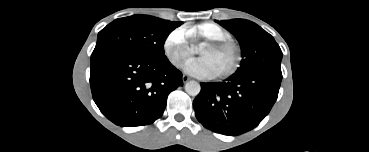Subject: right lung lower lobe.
I'll return each mask as SVG.
<instances>
[{
  "mask_svg": "<svg viewBox=\"0 0 369 152\" xmlns=\"http://www.w3.org/2000/svg\"><path fill=\"white\" fill-rule=\"evenodd\" d=\"M182 85V73L166 57L110 54L91 61L93 99L122 127L153 123L162 116L169 93Z\"/></svg>",
  "mask_w": 369,
  "mask_h": 152,
  "instance_id": "obj_1",
  "label": "right lung lower lobe"
}]
</instances>
